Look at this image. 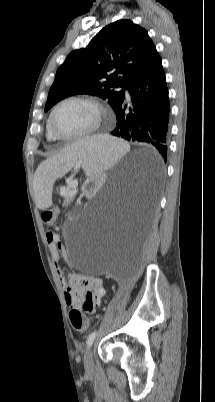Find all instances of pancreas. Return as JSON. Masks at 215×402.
Segmentation results:
<instances>
[{"instance_id":"cf45deb5","label":"pancreas","mask_w":215,"mask_h":402,"mask_svg":"<svg viewBox=\"0 0 215 402\" xmlns=\"http://www.w3.org/2000/svg\"><path fill=\"white\" fill-rule=\"evenodd\" d=\"M71 188H74L71 184H68L67 190L69 191Z\"/></svg>"}]
</instances>
